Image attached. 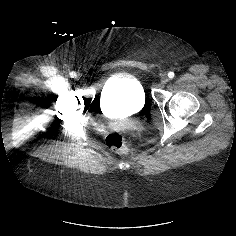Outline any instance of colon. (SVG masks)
I'll list each match as a JSON object with an SVG mask.
<instances>
[{"mask_svg": "<svg viewBox=\"0 0 236 236\" xmlns=\"http://www.w3.org/2000/svg\"><path fill=\"white\" fill-rule=\"evenodd\" d=\"M106 145L114 152L125 154L128 152V147L125 137L119 132L109 133L105 138Z\"/></svg>", "mask_w": 236, "mask_h": 236, "instance_id": "5ec220e1", "label": "colon"}]
</instances>
